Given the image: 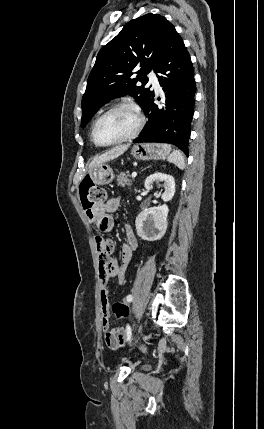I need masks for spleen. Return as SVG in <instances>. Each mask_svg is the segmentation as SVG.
<instances>
[{
  "label": "spleen",
  "mask_w": 264,
  "mask_h": 429,
  "mask_svg": "<svg viewBox=\"0 0 264 429\" xmlns=\"http://www.w3.org/2000/svg\"><path fill=\"white\" fill-rule=\"evenodd\" d=\"M168 162L173 163L180 169L185 168V159L183 154L179 150H174L170 156L167 158Z\"/></svg>",
  "instance_id": "spleen-1"
}]
</instances>
